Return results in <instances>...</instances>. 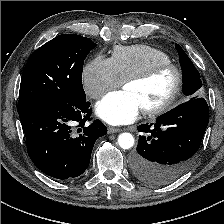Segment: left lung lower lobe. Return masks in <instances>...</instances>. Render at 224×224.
<instances>
[{
    "label": "left lung lower lobe",
    "instance_id": "left-lung-lower-lobe-1",
    "mask_svg": "<svg viewBox=\"0 0 224 224\" xmlns=\"http://www.w3.org/2000/svg\"><path fill=\"white\" fill-rule=\"evenodd\" d=\"M209 122L206 100L197 97L158 117L154 123L138 126L137 153L132 157L133 173L154 186L167 185L189 168Z\"/></svg>",
    "mask_w": 224,
    "mask_h": 224
}]
</instances>
